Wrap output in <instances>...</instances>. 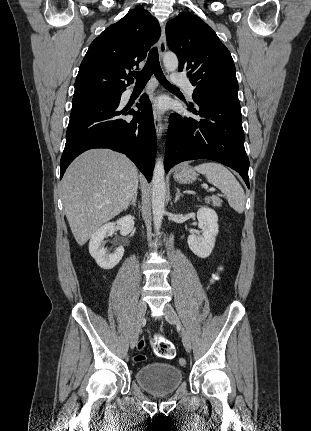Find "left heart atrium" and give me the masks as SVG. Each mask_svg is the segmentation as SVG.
Returning <instances> with one entry per match:
<instances>
[{"label":"left heart atrium","mask_w":311,"mask_h":431,"mask_svg":"<svg viewBox=\"0 0 311 431\" xmlns=\"http://www.w3.org/2000/svg\"><path fill=\"white\" fill-rule=\"evenodd\" d=\"M168 108V101L164 97H157L149 104V109L157 114H163Z\"/></svg>","instance_id":"obj_1"}]
</instances>
